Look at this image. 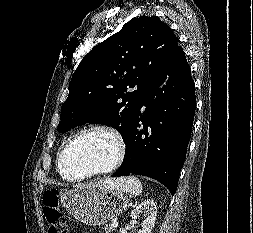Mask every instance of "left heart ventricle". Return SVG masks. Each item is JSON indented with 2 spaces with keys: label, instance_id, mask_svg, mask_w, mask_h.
Listing matches in <instances>:
<instances>
[{
  "label": "left heart ventricle",
  "instance_id": "left-heart-ventricle-1",
  "mask_svg": "<svg viewBox=\"0 0 253 233\" xmlns=\"http://www.w3.org/2000/svg\"><path fill=\"white\" fill-rule=\"evenodd\" d=\"M116 154L114 140L102 132L90 133L73 142L62 161L63 172L70 177L81 176L108 166Z\"/></svg>",
  "mask_w": 253,
  "mask_h": 233
}]
</instances>
